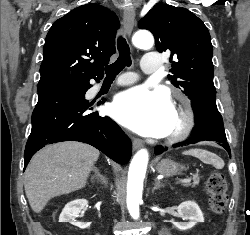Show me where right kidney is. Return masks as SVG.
I'll list each match as a JSON object with an SVG mask.
<instances>
[{
	"label": "right kidney",
	"instance_id": "right-kidney-1",
	"mask_svg": "<svg viewBox=\"0 0 250 235\" xmlns=\"http://www.w3.org/2000/svg\"><path fill=\"white\" fill-rule=\"evenodd\" d=\"M87 205L88 201L86 199H77L67 203L59 216V222H69L81 229L89 227L90 223L85 224L76 221V218L80 216L81 211Z\"/></svg>",
	"mask_w": 250,
	"mask_h": 235
}]
</instances>
